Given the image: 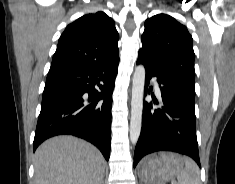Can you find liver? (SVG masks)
Returning <instances> with one entry per match:
<instances>
[{
    "mask_svg": "<svg viewBox=\"0 0 235 184\" xmlns=\"http://www.w3.org/2000/svg\"><path fill=\"white\" fill-rule=\"evenodd\" d=\"M104 164L92 144L73 136H56L35 152V184H101Z\"/></svg>",
    "mask_w": 235,
    "mask_h": 184,
    "instance_id": "6515ba94",
    "label": "liver"
}]
</instances>
